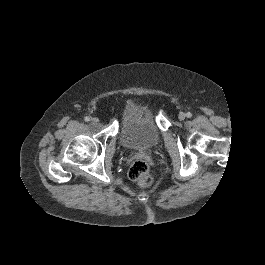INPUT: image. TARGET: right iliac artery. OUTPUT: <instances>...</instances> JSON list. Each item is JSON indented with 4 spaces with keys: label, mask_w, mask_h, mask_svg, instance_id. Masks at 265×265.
Wrapping results in <instances>:
<instances>
[{
    "label": "right iliac artery",
    "mask_w": 265,
    "mask_h": 265,
    "mask_svg": "<svg viewBox=\"0 0 265 265\" xmlns=\"http://www.w3.org/2000/svg\"><path fill=\"white\" fill-rule=\"evenodd\" d=\"M84 120H85L86 122H89V121L91 120V118L88 117V116H86V117L84 118Z\"/></svg>",
    "instance_id": "1"
}]
</instances>
